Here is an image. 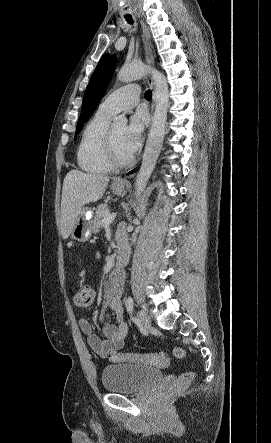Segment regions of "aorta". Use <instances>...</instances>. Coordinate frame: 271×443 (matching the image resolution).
Returning a JSON list of instances; mask_svg holds the SVG:
<instances>
[{"mask_svg": "<svg viewBox=\"0 0 271 443\" xmlns=\"http://www.w3.org/2000/svg\"><path fill=\"white\" fill-rule=\"evenodd\" d=\"M150 70L145 64H130L123 66L117 74V80L120 82H133L137 78L147 76ZM154 86H155V110L152 118L151 130L149 132L145 152L141 168L137 174L135 182L134 196L139 200L142 192L148 184V180L156 166V162L160 156L165 136V124L167 120V112L169 108L168 84L164 74L154 70ZM127 118L125 116H117L114 118V126H127Z\"/></svg>", "mask_w": 271, "mask_h": 443, "instance_id": "1", "label": "aorta"}]
</instances>
